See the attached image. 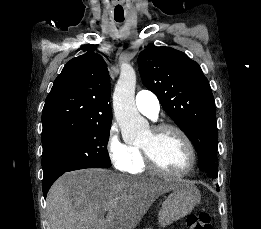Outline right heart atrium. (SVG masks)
<instances>
[{"instance_id": "obj_1", "label": "right heart atrium", "mask_w": 261, "mask_h": 229, "mask_svg": "<svg viewBox=\"0 0 261 229\" xmlns=\"http://www.w3.org/2000/svg\"><path fill=\"white\" fill-rule=\"evenodd\" d=\"M105 148L116 170L124 173L132 170L136 160L133 146L120 138L119 129L115 124L109 127Z\"/></svg>"}]
</instances>
